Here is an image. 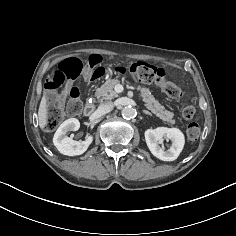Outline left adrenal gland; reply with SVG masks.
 <instances>
[{
  "label": "left adrenal gland",
  "mask_w": 236,
  "mask_h": 236,
  "mask_svg": "<svg viewBox=\"0 0 236 236\" xmlns=\"http://www.w3.org/2000/svg\"><path fill=\"white\" fill-rule=\"evenodd\" d=\"M143 113L152 116V114L147 110H143Z\"/></svg>",
  "instance_id": "1"
}]
</instances>
